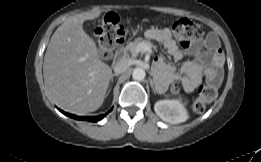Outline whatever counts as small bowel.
<instances>
[{"mask_svg":"<svg viewBox=\"0 0 261 162\" xmlns=\"http://www.w3.org/2000/svg\"><path fill=\"white\" fill-rule=\"evenodd\" d=\"M148 36L161 43L175 59L183 57L168 28L152 29ZM188 53L196 57L197 62L187 61L175 70L160 56L156 59V67L168 81H179L186 92H192L203 78L219 86L223 78L221 68L224 64V53L216 36L211 34L204 40L193 42L188 48Z\"/></svg>","mask_w":261,"mask_h":162,"instance_id":"c3829d8e","label":"small bowel"}]
</instances>
